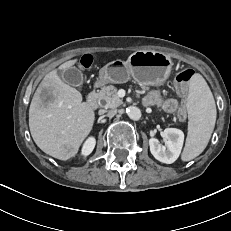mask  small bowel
Here are the masks:
<instances>
[{
    "label": "small bowel",
    "mask_w": 231,
    "mask_h": 231,
    "mask_svg": "<svg viewBox=\"0 0 231 231\" xmlns=\"http://www.w3.org/2000/svg\"><path fill=\"white\" fill-rule=\"evenodd\" d=\"M146 101L148 103L161 105L162 108L169 113L175 112L178 107V103L175 99H167L163 101L156 92H151Z\"/></svg>",
    "instance_id": "obj_1"
}]
</instances>
